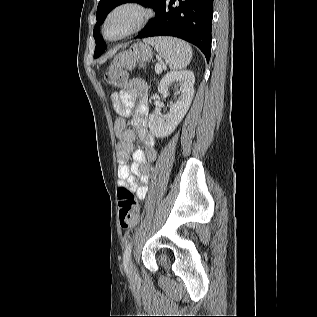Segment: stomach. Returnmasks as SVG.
<instances>
[{
    "label": "stomach",
    "instance_id": "0dacf381",
    "mask_svg": "<svg viewBox=\"0 0 317 317\" xmlns=\"http://www.w3.org/2000/svg\"><path fill=\"white\" fill-rule=\"evenodd\" d=\"M116 57H124L126 67H132L139 61L147 62L152 58V50L147 44L136 43L128 50L119 53Z\"/></svg>",
    "mask_w": 317,
    "mask_h": 317
}]
</instances>
